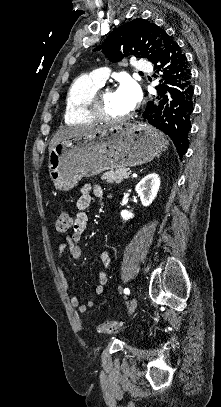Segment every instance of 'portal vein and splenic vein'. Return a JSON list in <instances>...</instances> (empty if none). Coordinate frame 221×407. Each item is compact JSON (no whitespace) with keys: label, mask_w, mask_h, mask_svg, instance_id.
Returning a JSON list of instances; mask_svg holds the SVG:
<instances>
[{"label":"portal vein and splenic vein","mask_w":221,"mask_h":407,"mask_svg":"<svg viewBox=\"0 0 221 407\" xmlns=\"http://www.w3.org/2000/svg\"><path fill=\"white\" fill-rule=\"evenodd\" d=\"M131 174V172H127L126 175L129 176Z\"/></svg>","instance_id":"obj_1"}]
</instances>
